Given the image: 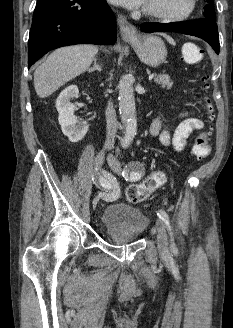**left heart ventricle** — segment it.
<instances>
[{"instance_id":"obj_1","label":"left heart ventricle","mask_w":233,"mask_h":328,"mask_svg":"<svg viewBox=\"0 0 233 328\" xmlns=\"http://www.w3.org/2000/svg\"><path fill=\"white\" fill-rule=\"evenodd\" d=\"M188 0H147L144 7L167 14H180L187 7Z\"/></svg>"}]
</instances>
